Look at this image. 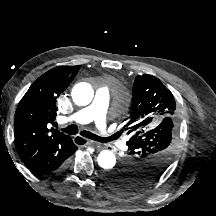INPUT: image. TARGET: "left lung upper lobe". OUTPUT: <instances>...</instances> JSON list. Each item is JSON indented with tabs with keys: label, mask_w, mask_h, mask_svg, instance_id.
<instances>
[{
	"label": "left lung upper lobe",
	"mask_w": 216,
	"mask_h": 216,
	"mask_svg": "<svg viewBox=\"0 0 216 216\" xmlns=\"http://www.w3.org/2000/svg\"><path fill=\"white\" fill-rule=\"evenodd\" d=\"M177 125L173 94L158 78L138 75L124 127L130 134L128 150L120 165L105 174L106 184L122 193H134L158 180L173 157Z\"/></svg>",
	"instance_id": "1"
}]
</instances>
